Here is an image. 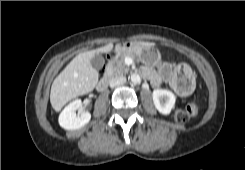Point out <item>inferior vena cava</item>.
<instances>
[{"label":"inferior vena cava","mask_w":245,"mask_h":170,"mask_svg":"<svg viewBox=\"0 0 245 170\" xmlns=\"http://www.w3.org/2000/svg\"><path fill=\"white\" fill-rule=\"evenodd\" d=\"M126 82V77L125 76H118L115 78H112L109 82V85L111 88L122 85Z\"/></svg>","instance_id":"1"}]
</instances>
